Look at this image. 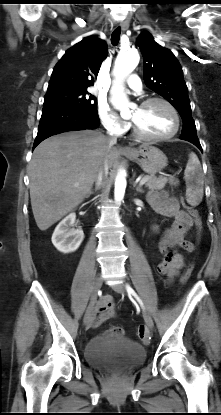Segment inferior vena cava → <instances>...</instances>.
Wrapping results in <instances>:
<instances>
[{
    "label": "inferior vena cava",
    "mask_w": 221,
    "mask_h": 415,
    "mask_svg": "<svg viewBox=\"0 0 221 415\" xmlns=\"http://www.w3.org/2000/svg\"><path fill=\"white\" fill-rule=\"evenodd\" d=\"M107 140H108L109 147H111L112 145H114L117 142V137L115 135L109 134L108 137H107ZM108 169H109L108 163H107V160H105L104 163L100 166L98 175L96 177V185L98 187H100L101 184L103 183V181L107 178Z\"/></svg>",
    "instance_id": "obj_1"
}]
</instances>
